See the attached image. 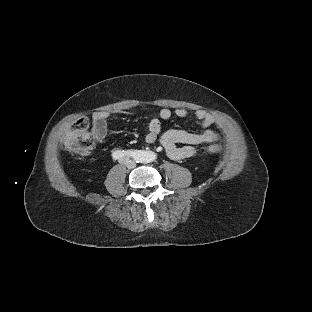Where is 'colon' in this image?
Listing matches in <instances>:
<instances>
[{
	"mask_svg": "<svg viewBox=\"0 0 312 312\" xmlns=\"http://www.w3.org/2000/svg\"><path fill=\"white\" fill-rule=\"evenodd\" d=\"M74 131L66 136L65 144L69 151L78 155L88 154L94 147L96 139L89 129V121L84 116H77L72 121ZM209 154L220 151L218 144H209L206 147Z\"/></svg>",
	"mask_w": 312,
	"mask_h": 312,
	"instance_id": "5ec220e1",
	"label": "colon"
}]
</instances>
